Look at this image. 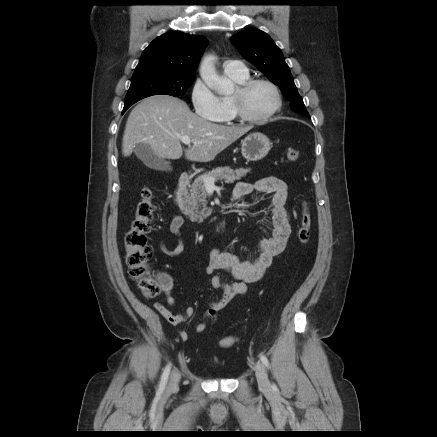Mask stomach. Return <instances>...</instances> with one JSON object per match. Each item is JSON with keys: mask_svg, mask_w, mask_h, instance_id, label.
Listing matches in <instances>:
<instances>
[{"mask_svg": "<svg viewBox=\"0 0 437 437\" xmlns=\"http://www.w3.org/2000/svg\"><path fill=\"white\" fill-rule=\"evenodd\" d=\"M272 147L269 138L259 132L251 133L241 142V153L248 161H258L264 158Z\"/></svg>", "mask_w": 437, "mask_h": 437, "instance_id": "1", "label": "stomach"}]
</instances>
